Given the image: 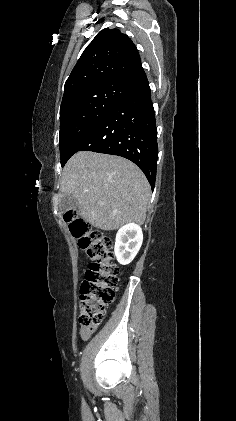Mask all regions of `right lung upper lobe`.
Returning a JSON list of instances; mask_svg holds the SVG:
<instances>
[{"instance_id": "1", "label": "right lung upper lobe", "mask_w": 236, "mask_h": 421, "mask_svg": "<svg viewBox=\"0 0 236 421\" xmlns=\"http://www.w3.org/2000/svg\"><path fill=\"white\" fill-rule=\"evenodd\" d=\"M142 69L138 50L131 39L118 29H104L73 68L65 83L62 102L87 90L120 86L127 76Z\"/></svg>"}]
</instances>
